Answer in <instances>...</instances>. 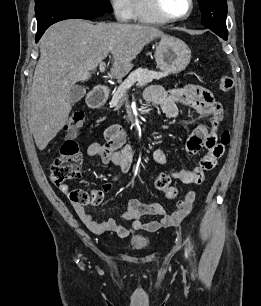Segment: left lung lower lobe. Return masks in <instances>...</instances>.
<instances>
[{
	"label": "left lung lower lobe",
	"mask_w": 261,
	"mask_h": 306,
	"mask_svg": "<svg viewBox=\"0 0 261 306\" xmlns=\"http://www.w3.org/2000/svg\"><path fill=\"white\" fill-rule=\"evenodd\" d=\"M216 34L219 35L222 39L227 40L228 33H216Z\"/></svg>",
	"instance_id": "obj_1"
}]
</instances>
